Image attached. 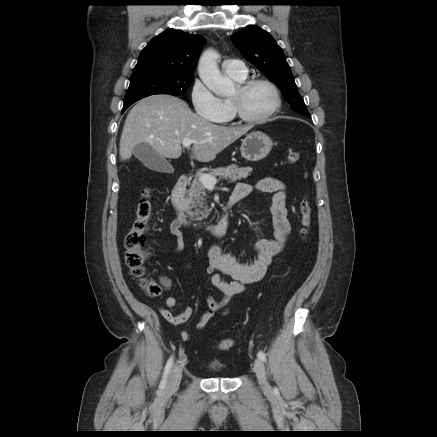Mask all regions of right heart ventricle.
<instances>
[{
    "mask_svg": "<svg viewBox=\"0 0 437 437\" xmlns=\"http://www.w3.org/2000/svg\"><path fill=\"white\" fill-rule=\"evenodd\" d=\"M232 78L235 79L238 82H242V81H244L246 79V77H244V78H234V77H232ZM223 102H224V104L226 106V114H225L224 118L220 122H229L233 118V113H232L230 101H229V99H225V100H223Z\"/></svg>",
    "mask_w": 437,
    "mask_h": 437,
    "instance_id": "e07e8e85",
    "label": "right heart ventricle"
}]
</instances>
